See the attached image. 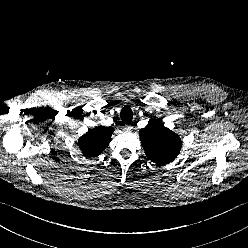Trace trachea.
<instances>
[{"instance_id":"1","label":"trachea","mask_w":248,"mask_h":248,"mask_svg":"<svg viewBox=\"0 0 248 248\" xmlns=\"http://www.w3.org/2000/svg\"><path fill=\"white\" fill-rule=\"evenodd\" d=\"M121 119L124 123H130L133 119V112L129 106H124L120 113Z\"/></svg>"}]
</instances>
